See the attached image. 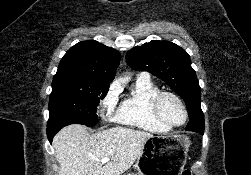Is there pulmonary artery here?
I'll list each match as a JSON object with an SVG mask.
<instances>
[{"mask_svg":"<svg viewBox=\"0 0 251 175\" xmlns=\"http://www.w3.org/2000/svg\"><path fill=\"white\" fill-rule=\"evenodd\" d=\"M137 78L141 80H150V76L146 73L139 74Z\"/></svg>","mask_w":251,"mask_h":175,"instance_id":"1","label":"pulmonary artery"}]
</instances>
